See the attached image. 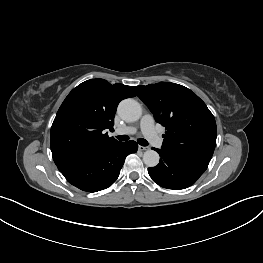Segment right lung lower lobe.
I'll list each match as a JSON object with an SVG mask.
<instances>
[{
  "mask_svg": "<svg viewBox=\"0 0 263 263\" xmlns=\"http://www.w3.org/2000/svg\"><path fill=\"white\" fill-rule=\"evenodd\" d=\"M137 149L135 141L117 142L57 167L75 187L87 192H97L116 181L126 156L135 153Z\"/></svg>",
  "mask_w": 263,
  "mask_h": 263,
  "instance_id": "98d812e1",
  "label": "right lung lower lobe"
}]
</instances>
